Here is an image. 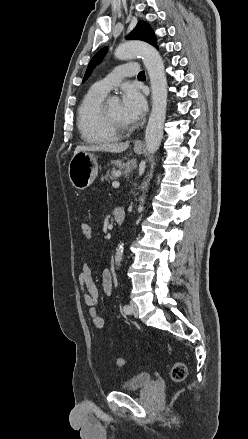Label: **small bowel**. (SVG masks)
Instances as JSON below:
<instances>
[{
  "label": "small bowel",
  "mask_w": 248,
  "mask_h": 439,
  "mask_svg": "<svg viewBox=\"0 0 248 439\" xmlns=\"http://www.w3.org/2000/svg\"><path fill=\"white\" fill-rule=\"evenodd\" d=\"M102 287L107 296L112 295V274L109 268H105L101 273ZM81 292L85 303L89 306V315L96 328L105 326V319L98 314L97 299L99 290L93 281L92 270L88 263H84L78 276Z\"/></svg>",
  "instance_id": "1"
}]
</instances>
